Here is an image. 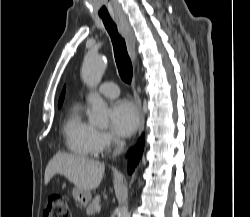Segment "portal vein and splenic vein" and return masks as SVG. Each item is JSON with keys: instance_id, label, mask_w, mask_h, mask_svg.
Instances as JSON below:
<instances>
[{"instance_id": "1", "label": "portal vein and splenic vein", "mask_w": 250, "mask_h": 217, "mask_svg": "<svg viewBox=\"0 0 250 217\" xmlns=\"http://www.w3.org/2000/svg\"><path fill=\"white\" fill-rule=\"evenodd\" d=\"M96 211H97V212H100V206H98V207L96 208Z\"/></svg>"}]
</instances>
